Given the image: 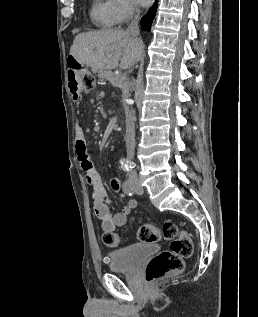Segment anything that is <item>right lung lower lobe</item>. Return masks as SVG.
Returning <instances> with one entry per match:
<instances>
[{
  "instance_id": "right-lung-lower-lobe-1",
  "label": "right lung lower lobe",
  "mask_w": 258,
  "mask_h": 317,
  "mask_svg": "<svg viewBox=\"0 0 258 317\" xmlns=\"http://www.w3.org/2000/svg\"><path fill=\"white\" fill-rule=\"evenodd\" d=\"M158 6V0L155 1L154 5L151 7V9L144 15V17L141 19V27L145 31H150L153 19L155 17V13Z\"/></svg>"
}]
</instances>
